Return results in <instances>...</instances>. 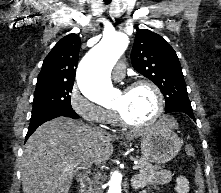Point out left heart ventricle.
Listing matches in <instances>:
<instances>
[{"mask_svg": "<svg viewBox=\"0 0 221 193\" xmlns=\"http://www.w3.org/2000/svg\"><path fill=\"white\" fill-rule=\"evenodd\" d=\"M131 122H145L149 120L156 109V98L147 86H140L129 91H121L114 102Z\"/></svg>", "mask_w": 221, "mask_h": 193, "instance_id": "left-heart-ventricle-1", "label": "left heart ventricle"}]
</instances>
